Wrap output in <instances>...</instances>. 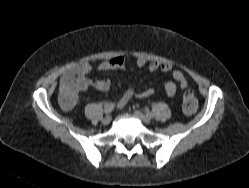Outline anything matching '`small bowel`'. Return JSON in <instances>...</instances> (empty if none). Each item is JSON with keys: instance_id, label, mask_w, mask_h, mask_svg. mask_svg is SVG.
<instances>
[{"instance_id": "obj_1", "label": "small bowel", "mask_w": 249, "mask_h": 188, "mask_svg": "<svg viewBox=\"0 0 249 188\" xmlns=\"http://www.w3.org/2000/svg\"><path fill=\"white\" fill-rule=\"evenodd\" d=\"M146 64V60L138 58L136 65L142 67ZM100 71L117 70L124 71L125 59L122 56H117L109 60L101 62L98 66ZM148 69L151 72L161 71L168 73L178 83L181 89H185L188 86L184 73L178 69H175L171 64L161 63L158 61H152L148 65ZM91 71V65L87 62H81L78 65L72 67L66 71L60 80V92H61V105L65 110L72 109L77 103L78 94L81 91L92 87L98 91L106 92L110 89V81L107 79L91 80L87 77V74ZM163 89L169 97H174L177 92V85L172 81H167L163 84ZM71 93L73 99V106H70L62 98L63 94ZM155 93V89L148 88L145 90H137L134 87H130L126 90L117 101V107L123 108L133 96L141 98H147Z\"/></svg>"}]
</instances>
